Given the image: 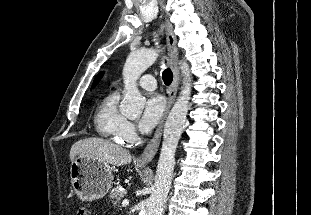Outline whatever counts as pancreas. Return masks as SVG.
I'll use <instances>...</instances> for the list:
<instances>
[{"instance_id": "pancreas-1", "label": "pancreas", "mask_w": 311, "mask_h": 215, "mask_svg": "<svg viewBox=\"0 0 311 215\" xmlns=\"http://www.w3.org/2000/svg\"><path fill=\"white\" fill-rule=\"evenodd\" d=\"M121 186L118 185L112 189L109 197L113 205H116L126 195L125 191L120 190Z\"/></svg>"}]
</instances>
